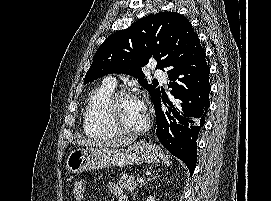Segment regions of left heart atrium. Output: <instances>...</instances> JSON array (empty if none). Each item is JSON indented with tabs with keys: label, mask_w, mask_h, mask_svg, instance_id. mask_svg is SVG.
I'll use <instances>...</instances> for the list:
<instances>
[{
	"label": "left heart atrium",
	"mask_w": 271,
	"mask_h": 201,
	"mask_svg": "<svg viewBox=\"0 0 271 201\" xmlns=\"http://www.w3.org/2000/svg\"><path fill=\"white\" fill-rule=\"evenodd\" d=\"M137 101H138V105H139V108L141 109V111L144 114H147V108H146L145 103L142 100H139V99H137Z\"/></svg>",
	"instance_id": "39dd6f15"
}]
</instances>
